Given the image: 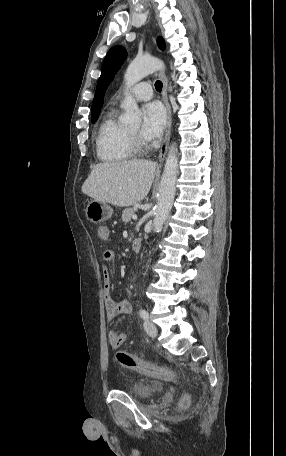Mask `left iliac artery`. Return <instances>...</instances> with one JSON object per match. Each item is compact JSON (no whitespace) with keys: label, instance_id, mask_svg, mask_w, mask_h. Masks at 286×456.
I'll list each match as a JSON object with an SVG mask.
<instances>
[{"label":"left iliac artery","instance_id":"left-iliac-artery-1","mask_svg":"<svg viewBox=\"0 0 286 456\" xmlns=\"http://www.w3.org/2000/svg\"><path fill=\"white\" fill-rule=\"evenodd\" d=\"M139 313L141 318L148 319V312L145 309H140Z\"/></svg>","mask_w":286,"mask_h":456}]
</instances>
